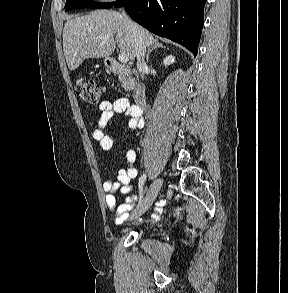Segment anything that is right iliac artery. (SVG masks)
Listing matches in <instances>:
<instances>
[{
	"label": "right iliac artery",
	"instance_id": "right-iliac-artery-1",
	"mask_svg": "<svg viewBox=\"0 0 288 293\" xmlns=\"http://www.w3.org/2000/svg\"><path fill=\"white\" fill-rule=\"evenodd\" d=\"M146 180V174H143L140 179H139V195H140V199H139V204L142 201V197H143V185L145 183Z\"/></svg>",
	"mask_w": 288,
	"mask_h": 293
}]
</instances>
